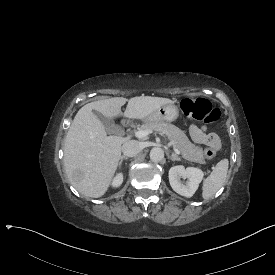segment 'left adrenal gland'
<instances>
[{
	"mask_svg": "<svg viewBox=\"0 0 275 275\" xmlns=\"http://www.w3.org/2000/svg\"><path fill=\"white\" fill-rule=\"evenodd\" d=\"M166 155H167L168 159H171L172 161H180V160H181V159L178 157V155L175 154V153H172V155L170 156L167 147H166Z\"/></svg>",
	"mask_w": 275,
	"mask_h": 275,
	"instance_id": "1",
	"label": "left adrenal gland"
}]
</instances>
